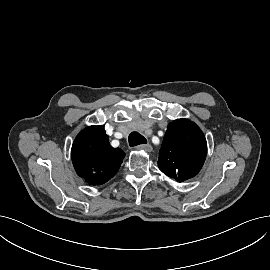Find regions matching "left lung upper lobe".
Listing matches in <instances>:
<instances>
[{
  "instance_id": "5c2ea615",
  "label": "left lung upper lobe",
  "mask_w": 270,
  "mask_h": 270,
  "mask_svg": "<svg viewBox=\"0 0 270 270\" xmlns=\"http://www.w3.org/2000/svg\"><path fill=\"white\" fill-rule=\"evenodd\" d=\"M207 154V142L200 128L188 119L168 125L159 152L158 167L178 182L198 174Z\"/></svg>"
}]
</instances>
